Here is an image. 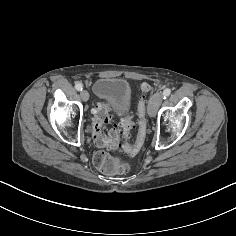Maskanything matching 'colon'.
Returning <instances> with one entry per match:
<instances>
[{"label":"colon","mask_w":236,"mask_h":236,"mask_svg":"<svg viewBox=\"0 0 236 236\" xmlns=\"http://www.w3.org/2000/svg\"><path fill=\"white\" fill-rule=\"evenodd\" d=\"M143 93L151 92V86L148 83L141 84ZM137 115L139 118V133L136 142L130 145L126 139L134 127L130 114H126L121 123L113 126L106 133L105 129L112 119L110 108L103 102L97 103L93 110L92 135L94 144L97 147L109 149H121L129 153H136L142 147L147 131L146 119V101L141 99L138 103ZM94 165L102 172L113 174L123 173L129 170V166L122 160L108 152H97L93 158Z\"/></svg>","instance_id":"colon-1"}]
</instances>
